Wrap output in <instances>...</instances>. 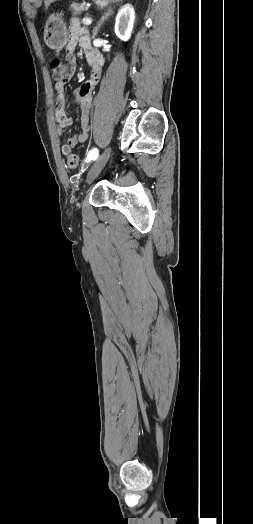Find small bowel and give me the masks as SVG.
Returning a JSON list of instances; mask_svg holds the SVG:
<instances>
[{"label": "small bowel", "mask_w": 253, "mask_h": 524, "mask_svg": "<svg viewBox=\"0 0 253 524\" xmlns=\"http://www.w3.org/2000/svg\"><path fill=\"white\" fill-rule=\"evenodd\" d=\"M78 46L81 48V53L84 54L89 65L90 78L80 87L72 90L70 94L79 105L81 126L80 131L76 135L68 138L61 146L62 154L66 156L70 155L73 148L85 142L88 138L90 115L93 107V91L100 81L104 63L100 53L91 46L88 30L82 27L77 21H73L70 26L69 41L67 44L66 71L61 75L59 82L55 85L57 93L55 118L59 136H62L63 130L73 123V118L67 115L65 110V87L70 85L72 77L76 74L78 63L74 50Z\"/></svg>", "instance_id": "c3829d8e"}]
</instances>
